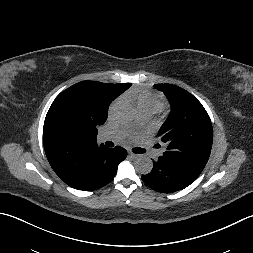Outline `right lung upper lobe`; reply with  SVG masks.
<instances>
[{"mask_svg":"<svg viewBox=\"0 0 253 253\" xmlns=\"http://www.w3.org/2000/svg\"><path fill=\"white\" fill-rule=\"evenodd\" d=\"M130 84H105L97 81H82L76 83L64 90L63 92H77L83 95H93L99 91L114 94L118 97L125 90H127ZM43 144L45 153L48 159L61 154L74 151L79 148H86L91 146H97L96 138L83 139L71 143H63L53 140L46 131L43 130Z\"/></svg>","mask_w":253,"mask_h":253,"instance_id":"right-lung-upper-lobe-1","label":"right lung upper lobe"}]
</instances>
